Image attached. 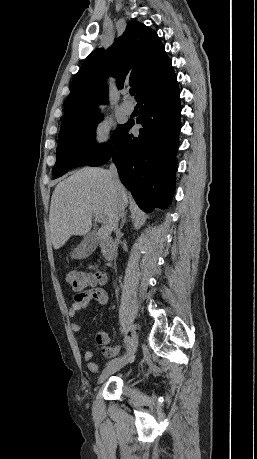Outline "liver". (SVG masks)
Returning <instances> with one entry per match:
<instances>
[{"label": "liver", "mask_w": 257, "mask_h": 459, "mask_svg": "<svg viewBox=\"0 0 257 459\" xmlns=\"http://www.w3.org/2000/svg\"><path fill=\"white\" fill-rule=\"evenodd\" d=\"M119 193L124 211L128 204L126 190L121 183L115 188L108 170L103 168L85 167L59 182L52 194L49 212L54 249L63 247L71 236L88 234L95 213L103 218L98 238L110 236L116 224Z\"/></svg>", "instance_id": "obj_1"}]
</instances>
